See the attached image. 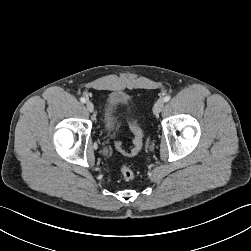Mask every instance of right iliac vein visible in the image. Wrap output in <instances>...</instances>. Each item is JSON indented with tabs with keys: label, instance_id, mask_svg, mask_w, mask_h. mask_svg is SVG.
Here are the masks:
<instances>
[{
	"label": "right iliac vein",
	"instance_id": "right-iliac-vein-1",
	"mask_svg": "<svg viewBox=\"0 0 251 251\" xmlns=\"http://www.w3.org/2000/svg\"><path fill=\"white\" fill-rule=\"evenodd\" d=\"M86 108L89 112H93L94 111V105L91 101H87L86 102Z\"/></svg>",
	"mask_w": 251,
	"mask_h": 251
}]
</instances>
